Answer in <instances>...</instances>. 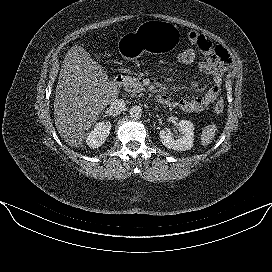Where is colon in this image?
<instances>
[{
	"label": "colon",
	"mask_w": 272,
	"mask_h": 272,
	"mask_svg": "<svg viewBox=\"0 0 272 272\" xmlns=\"http://www.w3.org/2000/svg\"><path fill=\"white\" fill-rule=\"evenodd\" d=\"M195 58H196V53L192 49H184L177 54V60L178 62L182 64H190L194 62ZM214 111L217 114H221L224 111L223 99H220L217 101V103L214 106Z\"/></svg>",
	"instance_id": "5ec220e1"
}]
</instances>
